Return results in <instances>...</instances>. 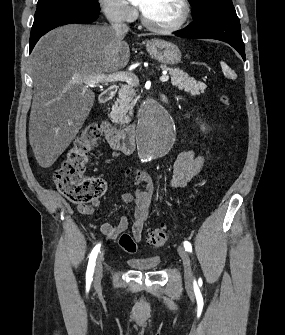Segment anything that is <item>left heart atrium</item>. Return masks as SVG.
<instances>
[{
    "label": "left heart atrium",
    "instance_id": "obj_1",
    "mask_svg": "<svg viewBox=\"0 0 285 335\" xmlns=\"http://www.w3.org/2000/svg\"><path fill=\"white\" fill-rule=\"evenodd\" d=\"M135 2L140 6L141 9L144 8L145 1H135Z\"/></svg>",
    "mask_w": 285,
    "mask_h": 335
}]
</instances>
